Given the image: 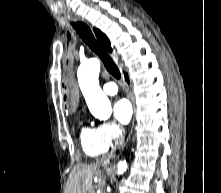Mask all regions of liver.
Segmentation results:
<instances>
[{
  "instance_id": "obj_1",
  "label": "liver",
  "mask_w": 221,
  "mask_h": 193,
  "mask_svg": "<svg viewBox=\"0 0 221 193\" xmlns=\"http://www.w3.org/2000/svg\"><path fill=\"white\" fill-rule=\"evenodd\" d=\"M109 157H104L95 164H78L71 171L66 193H93L92 178L99 165L107 166Z\"/></svg>"
}]
</instances>
